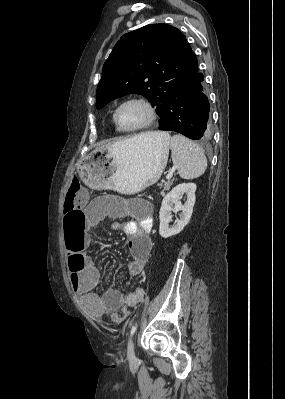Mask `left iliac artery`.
Masks as SVG:
<instances>
[{
  "instance_id": "1",
  "label": "left iliac artery",
  "mask_w": 285,
  "mask_h": 399,
  "mask_svg": "<svg viewBox=\"0 0 285 399\" xmlns=\"http://www.w3.org/2000/svg\"><path fill=\"white\" fill-rule=\"evenodd\" d=\"M138 324L136 323L135 325H133V327L131 328L130 334L133 335L137 329Z\"/></svg>"
}]
</instances>
